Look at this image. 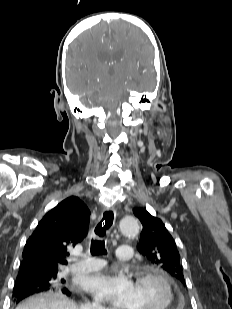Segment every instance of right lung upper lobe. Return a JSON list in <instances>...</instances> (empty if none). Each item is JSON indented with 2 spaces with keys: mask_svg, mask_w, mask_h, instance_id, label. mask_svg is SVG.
<instances>
[{
  "mask_svg": "<svg viewBox=\"0 0 232 309\" xmlns=\"http://www.w3.org/2000/svg\"><path fill=\"white\" fill-rule=\"evenodd\" d=\"M89 215L88 207L76 196L46 213L25 244L20 271L37 274L67 264L68 248L87 235Z\"/></svg>",
  "mask_w": 232,
  "mask_h": 309,
  "instance_id": "obj_1",
  "label": "right lung upper lobe"
}]
</instances>
